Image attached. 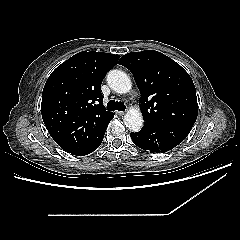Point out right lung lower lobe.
Masks as SVG:
<instances>
[{"instance_id":"obj_1","label":"right lung lower lobe","mask_w":240,"mask_h":240,"mask_svg":"<svg viewBox=\"0 0 240 240\" xmlns=\"http://www.w3.org/2000/svg\"><path fill=\"white\" fill-rule=\"evenodd\" d=\"M106 129L102 132V134L99 136V138L96 140L95 143H93L91 146H89L88 148L78 152V153H74L73 155H77V156H83V155H87L92 153L94 150H96L100 144L102 143L104 134H105Z\"/></svg>"}]
</instances>
